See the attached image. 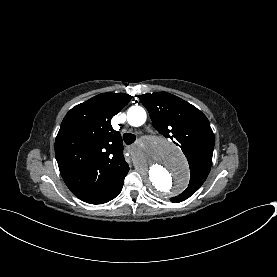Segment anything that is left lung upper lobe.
I'll list each match as a JSON object with an SVG mask.
<instances>
[{"label": "left lung upper lobe", "instance_id": "left-lung-upper-lobe-1", "mask_svg": "<svg viewBox=\"0 0 277 277\" xmlns=\"http://www.w3.org/2000/svg\"><path fill=\"white\" fill-rule=\"evenodd\" d=\"M146 107L152 125L166 138L181 148L190 166V183L179 196L182 202L193 195L206 180L214 149V134L206 116L193 105L167 92L138 96Z\"/></svg>", "mask_w": 277, "mask_h": 277}]
</instances>
